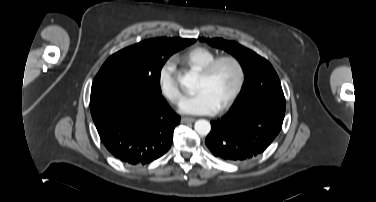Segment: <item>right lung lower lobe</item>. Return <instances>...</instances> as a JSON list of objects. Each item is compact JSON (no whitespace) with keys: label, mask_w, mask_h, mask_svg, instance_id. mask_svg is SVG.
I'll return each instance as SVG.
<instances>
[{"label":"right lung lower lobe","mask_w":376,"mask_h":202,"mask_svg":"<svg viewBox=\"0 0 376 202\" xmlns=\"http://www.w3.org/2000/svg\"><path fill=\"white\" fill-rule=\"evenodd\" d=\"M90 110L101 141L125 164L144 165L164 155L180 123L161 94L133 87L91 91Z\"/></svg>","instance_id":"right-lung-lower-lobe-1"}]
</instances>
